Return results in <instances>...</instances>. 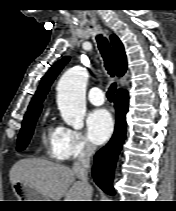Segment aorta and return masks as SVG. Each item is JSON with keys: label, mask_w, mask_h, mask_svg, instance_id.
Returning a JSON list of instances; mask_svg holds the SVG:
<instances>
[{"label": "aorta", "mask_w": 176, "mask_h": 211, "mask_svg": "<svg viewBox=\"0 0 176 211\" xmlns=\"http://www.w3.org/2000/svg\"><path fill=\"white\" fill-rule=\"evenodd\" d=\"M88 72L82 68L67 70L57 86V105L63 120L74 129L84 126L85 90Z\"/></svg>", "instance_id": "1"}]
</instances>
